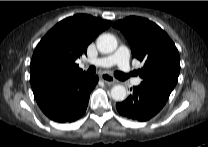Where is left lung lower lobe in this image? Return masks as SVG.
<instances>
[{
	"label": "left lung lower lobe",
	"instance_id": "0a47b994",
	"mask_svg": "<svg viewBox=\"0 0 208 147\" xmlns=\"http://www.w3.org/2000/svg\"><path fill=\"white\" fill-rule=\"evenodd\" d=\"M170 93L150 85L133 87V93L123 102L117 103L118 112L129 119L147 121L165 105Z\"/></svg>",
	"mask_w": 208,
	"mask_h": 147
}]
</instances>
